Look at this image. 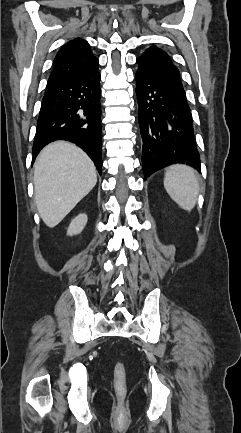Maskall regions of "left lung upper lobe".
Instances as JSON below:
<instances>
[{"mask_svg": "<svg viewBox=\"0 0 241 433\" xmlns=\"http://www.w3.org/2000/svg\"><path fill=\"white\" fill-rule=\"evenodd\" d=\"M139 71L162 75L168 79L180 95L186 100V94L181 82L180 72L167 53L156 46H151L137 58ZM187 101V100H186Z\"/></svg>", "mask_w": 241, "mask_h": 433, "instance_id": "1", "label": "left lung upper lobe"}]
</instances>
